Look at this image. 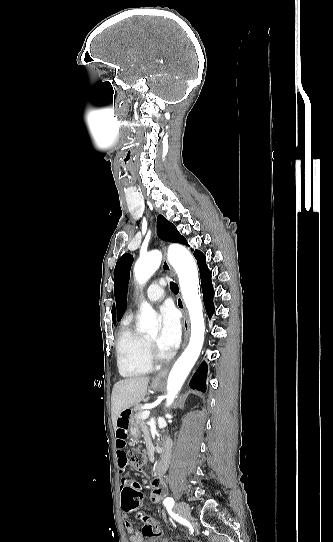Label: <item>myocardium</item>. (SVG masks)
<instances>
[{
  "label": "myocardium",
  "instance_id": "1",
  "mask_svg": "<svg viewBox=\"0 0 333 542\" xmlns=\"http://www.w3.org/2000/svg\"><path fill=\"white\" fill-rule=\"evenodd\" d=\"M145 354L152 364H164L169 362L173 357V354H168L167 356L160 355L149 338L145 339Z\"/></svg>",
  "mask_w": 333,
  "mask_h": 542
}]
</instances>
